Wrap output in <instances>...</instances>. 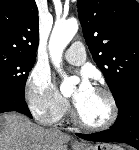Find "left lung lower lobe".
<instances>
[{
    "label": "left lung lower lobe",
    "mask_w": 139,
    "mask_h": 150,
    "mask_svg": "<svg viewBox=\"0 0 139 150\" xmlns=\"http://www.w3.org/2000/svg\"><path fill=\"white\" fill-rule=\"evenodd\" d=\"M117 107L119 113L112 128L94 134L76 135L88 141L126 143L139 150V82L127 88Z\"/></svg>",
    "instance_id": "1"
}]
</instances>
